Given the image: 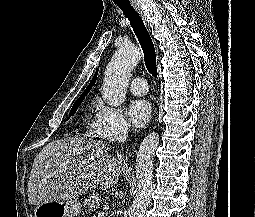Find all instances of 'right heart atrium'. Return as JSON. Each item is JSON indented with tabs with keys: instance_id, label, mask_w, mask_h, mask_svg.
I'll use <instances>...</instances> for the list:
<instances>
[{
	"instance_id": "right-heart-atrium-1",
	"label": "right heart atrium",
	"mask_w": 255,
	"mask_h": 217,
	"mask_svg": "<svg viewBox=\"0 0 255 217\" xmlns=\"http://www.w3.org/2000/svg\"><path fill=\"white\" fill-rule=\"evenodd\" d=\"M128 129L122 110L98 103L96 117L89 127L91 134L103 139L117 140L125 136Z\"/></svg>"
}]
</instances>
